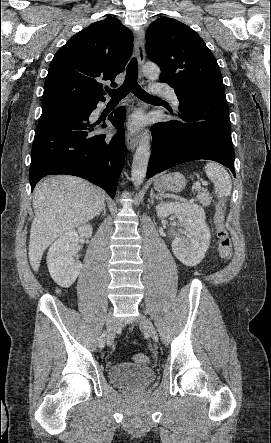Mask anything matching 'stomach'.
<instances>
[{
	"mask_svg": "<svg viewBox=\"0 0 271 443\" xmlns=\"http://www.w3.org/2000/svg\"><path fill=\"white\" fill-rule=\"evenodd\" d=\"M185 186L186 180L179 172L166 174V176H162V178L154 182V190L159 192V194H162V192H180Z\"/></svg>",
	"mask_w": 271,
	"mask_h": 443,
	"instance_id": "0dacf381",
	"label": "stomach"
}]
</instances>
